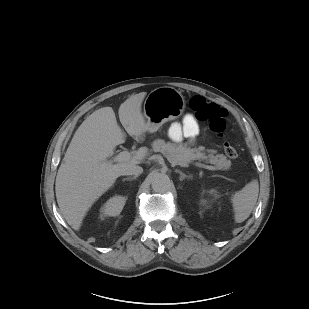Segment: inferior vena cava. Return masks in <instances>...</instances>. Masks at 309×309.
<instances>
[{"mask_svg": "<svg viewBox=\"0 0 309 309\" xmlns=\"http://www.w3.org/2000/svg\"><path fill=\"white\" fill-rule=\"evenodd\" d=\"M142 172H143L142 167L134 165V166H129V167L124 168L121 171L120 175H135V176H138Z\"/></svg>", "mask_w": 309, "mask_h": 309, "instance_id": "602c4592", "label": "inferior vena cava"}]
</instances>
